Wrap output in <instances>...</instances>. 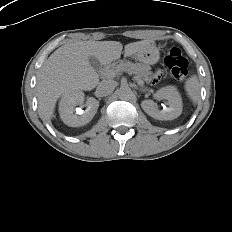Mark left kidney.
Returning a JSON list of instances; mask_svg holds the SVG:
<instances>
[{
    "label": "left kidney",
    "instance_id": "obj_1",
    "mask_svg": "<svg viewBox=\"0 0 232 232\" xmlns=\"http://www.w3.org/2000/svg\"><path fill=\"white\" fill-rule=\"evenodd\" d=\"M154 98L158 100L166 99L169 107L164 110H158L157 105L152 100H144L141 103L142 109L152 118L157 120H173L182 113V99L174 86H166L159 89Z\"/></svg>",
    "mask_w": 232,
    "mask_h": 232
}]
</instances>
